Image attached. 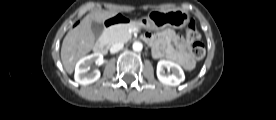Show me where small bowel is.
<instances>
[{"label": "small bowel", "mask_w": 276, "mask_h": 120, "mask_svg": "<svg viewBox=\"0 0 276 120\" xmlns=\"http://www.w3.org/2000/svg\"><path fill=\"white\" fill-rule=\"evenodd\" d=\"M144 39L151 46L154 57H165L188 70L194 67L195 63L189 54L188 43L175 31L167 29L156 35L146 33Z\"/></svg>", "instance_id": "obj_1"}]
</instances>
